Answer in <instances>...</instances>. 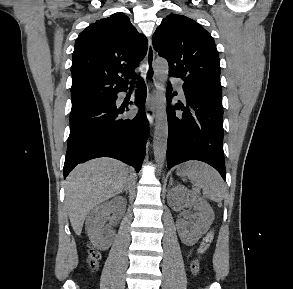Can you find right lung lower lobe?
<instances>
[{
  "instance_id": "right-lung-lower-lobe-1",
  "label": "right lung lower lobe",
  "mask_w": 293,
  "mask_h": 289,
  "mask_svg": "<svg viewBox=\"0 0 293 289\" xmlns=\"http://www.w3.org/2000/svg\"><path fill=\"white\" fill-rule=\"evenodd\" d=\"M146 94V85L140 78L135 92L139 112L132 118H122L124 109L116 107L117 95L70 117L64 178L79 163L98 157H112L133 166L137 172L140 170L149 136L148 120L143 110Z\"/></svg>"
}]
</instances>
